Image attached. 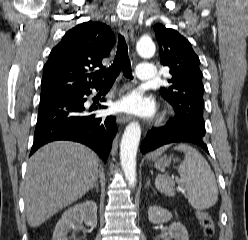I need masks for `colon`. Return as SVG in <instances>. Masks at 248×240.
I'll return each instance as SVG.
<instances>
[{
	"mask_svg": "<svg viewBox=\"0 0 248 240\" xmlns=\"http://www.w3.org/2000/svg\"><path fill=\"white\" fill-rule=\"evenodd\" d=\"M197 218L199 219L205 235L212 236L214 234L215 225L211 215L205 211H198Z\"/></svg>",
	"mask_w": 248,
	"mask_h": 240,
	"instance_id": "obj_1",
	"label": "colon"
}]
</instances>
